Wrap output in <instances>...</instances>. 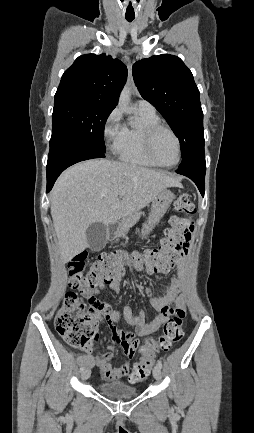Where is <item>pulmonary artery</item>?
Instances as JSON below:
<instances>
[{
  "label": "pulmonary artery",
  "mask_w": 254,
  "mask_h": 433,
  "mask_svg": "<svg viewBox=\"0 0 254 433\" xmlns=\"http://www.w3.org/2000/svg\"><path fill=\"white\" fill-rule=\"evenodd\" d=\"M136 105H137L138 111L155 112L153 105L146 100H138Z\"/></svg>",
  "instance_id": "obj_1"
}]
</instances>
